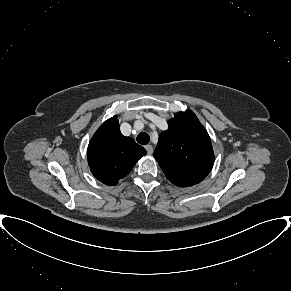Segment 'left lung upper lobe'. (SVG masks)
I'll list each match as a JSON object with an SVG mask.
<instances>
[{
    "mask_svg": "<svg viewBox=\"0 0 291 291\" xmlns=\"http://www.w3.org/2000/svg\"><path fill=\"white\" fill-rule=\"evenodd\" d=\"M168 126L159 136L155 159L173 184L188 187L201 182L214 164L207 131L190 110L178 112Z\"/></svg>",
    "mask_w": 291,
    "mask_h": 291,
    "instance_id": "5c2ea615",
    "label": "left lung upper lobe"
}]
</instances>
